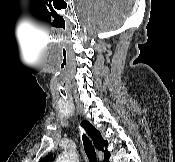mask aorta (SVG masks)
Listing matches in <instances>:
<instances>
[{"instance_id": "762f6f07", "label": "aorta", "mask_w": 175, "mask_h": 162, "mask_svg": "<svg viewBox=\"0 0 175 162\" xmlns=\"http://www.w3.org/2000/svg\"><path fill=\"white\" fill-rule=\"evenodd\" d=\"M78 156L75 152H63L58 156L56 162H78Z\"/></svg>"}]
</instances>
